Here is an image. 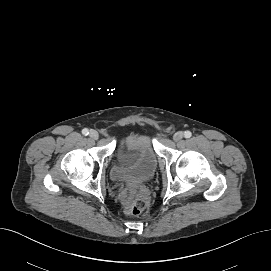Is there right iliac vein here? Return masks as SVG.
Segmentation results:
<instances>
[{
  "mask_svg": "<svg viewBox=\"0 0 271 271\" xmlns=\"http://www.w3.org/2000/svg\"><path fill=\"white\" fill-rule=\"evenodd\" d=\"M89 136H90L91 139L96 140V139H98L99 134H98V132L96 130H91L90 133H89Z\"/></svg>",
  "mask_w": 271,
  "mask_h": 271,
  "instance_id": "1",
  "label": "right iliac vein"
}]
</instances>
